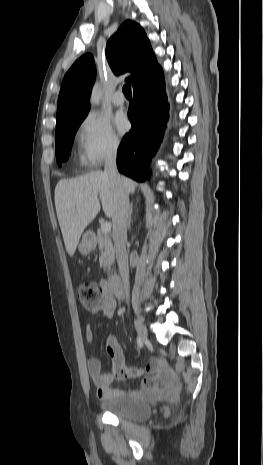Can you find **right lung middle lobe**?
Instances as JSON below:
<instances>
[{
	"mask_svg": "<svg viewBox=\"0 0 263 465\" xmlns=\"http://www.w3.org/2000/svg\"><path fill=\"white\" fill-rule=\"evenodd\" d=\"M89 109L76 111L56 124V159L59 165L68 159L75 133Z\"/></svg>",
	"mask_w": 263,
	"mask_h": 465,
	"instance_id": "obj_1",
	"label": "right lung middle lobe"
}]
</instances>
